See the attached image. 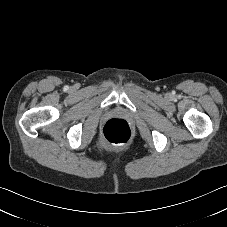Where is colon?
<instances>
[{"label":"colon","mask_w":227,"mask_h":227,"mask_svg":"<svg viewBox=\"0 0 227 227\" xmlns=\"http://www.w3.org/2000/svg\"><path fill=\"white\" fill-rule=\"evenodd\" d=\"M102 136L109 143H125L131 138V129L126 121L111 119L104 125Z\"/></svg>","instance_id":"colon-1"}]
</instances>
